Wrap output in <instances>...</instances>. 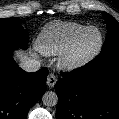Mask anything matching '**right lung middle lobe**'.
I'll return each instance as SVG.
<instances>
[{
  "label": "right lung middle lobe",
  "instance_id": "obj_1",
  "mask_svg": "<svg viewBox=\"0 0 119 119\" xmlns=\"http://www.w3.org/2000/svg\"><path fill=\"white\" fill-rule=\"evenodd\" d=\"M20 22V19L16 17L0 19V44L27 48L29 34L20 25Z\"/></svg>",
  "mask_w": 119,
  "mask_h": 119
}]
</instances>
